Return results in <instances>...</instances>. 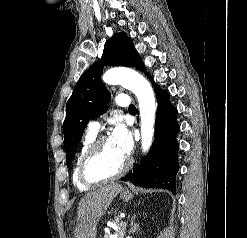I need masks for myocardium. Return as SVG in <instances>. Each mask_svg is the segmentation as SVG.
I'll return each instance as SVG.
<instances>
[{
    "instance_id": "f54148a6",
    "label": "myocardium",
    "mask_w": 247,
    "mask_h": 238,
    "mask_svg": "<svg viewBox=\"0 0 247 238\" xmlns=\"http://www.w3.org/2000/svg\"><path fill=\"white\" fill-rule=\"evenodd\" d=\"M107 140H109V137L106 135H101L95 138V140L91 143L89 148L86 150V152L82 156L81 161L79 163V167H78V175H79V179L81 180L83 184L88 185V186H96L99 184L107 183V182H110V181H113V180H116L122 177L129 170L131 166V159L127 157L122 168L118 172L112 175L93 176L92 174H90L89 167L91 163L93 162V160L98 155L102 145Z\"/></svg>"
}]
</instances>
